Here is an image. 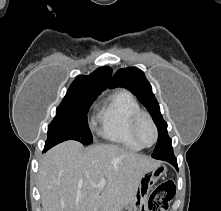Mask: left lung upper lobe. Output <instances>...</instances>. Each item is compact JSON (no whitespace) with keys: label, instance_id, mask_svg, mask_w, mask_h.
Wrapping results in <instances>:
<instances>
[{"label":"left lung upper lobe","instance_id":"obj_1","mask_svg":"<svg viewBox=\"0 0 221 211\" xmlns=\"http://www.w3.org/2000/svg\"><path fill=\"white\" fill-rule=\"evenodd\" d=\"M125 87L135 94L140 102L151 114L158 128V141L152 157L161 159L173 155L171 139L167 132V123L160 113L159 104L152 92V87L147 81L143 71L135 67L118 70L113 76L111 88Z\"/></svg>","mask_w":221,"mask_h":211}]
</instances>
